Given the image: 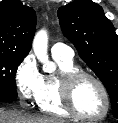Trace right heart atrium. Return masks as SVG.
<instances>
[{
  "instance_id": "d8ad5b80",
  "label": "right heart atrium",
  "mask_w": 118,
  "mask_h": 123,
  "mask_svg": "<svg viewBox=\"0 0 118 123\" xmlns=\"http://www.w3.org/2000/svg\"><path fill=\"white\" fill-rule=\"evenodd\" d=\"M42 77L32 55L26 56L19 63L14 79L19 99L23 104L36 101L41 89Z\"/></svg>"
}]
</instances>
